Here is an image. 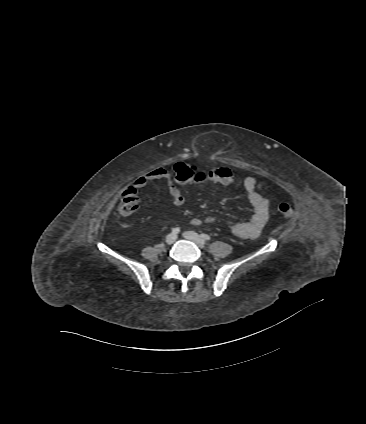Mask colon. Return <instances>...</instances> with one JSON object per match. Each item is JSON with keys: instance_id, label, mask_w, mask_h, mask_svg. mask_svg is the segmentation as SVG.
<instances>
[{"instance_id": "1", "label": "colon", "mask_w": 366, "mask_h": 424, "mask_svg": "<svg viewBox=\"0 0 366 424\" xmlns=\"http://www.w3.org/2000/svg\"><path fill=\"white\" fill-rule=\"evenodd\" d=\"M220 167H213L207 171H202L193 164L181 161L174 165L175 179L180 184H186L192 181L202 182L205 180L213 181L218 176V180L224 183H230L233 180V173L229 171H219ZM261 189H265L263 183L259 184ZM138 208V198L134 189H129L122 195L118 208L120 216H128L134 213ZM278 212L284 219L292 215V208L287 203H281L278 206Z\"/></svg>"}]
</instances>
